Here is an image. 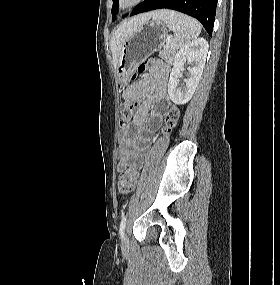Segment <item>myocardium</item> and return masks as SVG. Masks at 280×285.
I'll use <instances>...</instances> for the list:
<instances>
[{
    "label": "myocardium",
    "mask_w": 280,
    "mask_h": 285,
    "mask_svg": "<svg viewBox=\"0 0 280 285\" xmlns=\"http://www.w3.org/2000/svg\"><path fill=\"white\" fill-rule=\"evenodd\" d=\"M142 1L144 0H117L116 6L120 11H127V10L134 8L135 6L140 4Z\"/></svg>",
    "instance_id": "f54148a6"
}]
</instances>
